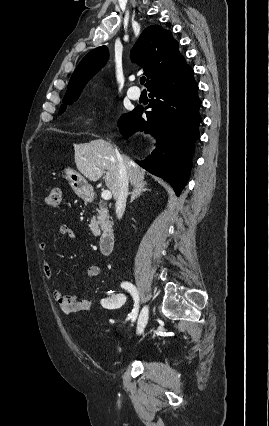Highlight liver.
Listing matches in <instances>:
<instances>
[{
  "instance_id": "obj_1",
  "label": "liver",
  "mask_w": 269,
  "mask_h": 426,
  "mask_svg": "<svg viewBox=\"0 0 269 426\" xmlns=\"http://www.w3.org/2000/svg\"><path fill=\"white\" fill-rule=\"evenodd\" d=\"M75 163L77 169L90 181H98L105 173V184L114 198L118 190V159L117 150L103 139L89 143L76 144ZM127 169L128 180L135 186L144 182L145 171L129 157L122 156Z\"/></svg>"
}]
</instances>
